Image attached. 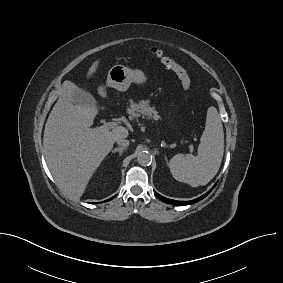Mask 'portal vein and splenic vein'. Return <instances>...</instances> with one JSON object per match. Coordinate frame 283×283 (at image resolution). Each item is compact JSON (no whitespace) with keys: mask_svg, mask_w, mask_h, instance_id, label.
<instances>
[{"mask_svg":"<svg viewBox=\"0 0 283 283\" xmlns=\"http://www.w3.org/2000/svg\"><path fill=\"white\" fill-rule=\"evenodd\" d=\"M117 126H118V123H116V122H104V124L102 126L98 127L97 129L100 130V131H107V130L113 129ZM190 152L191 153L193 152V145H190Z\"/></svg>","mask_w":283,"mask_h":283,"instance_id":"obj_1","label":"portal vein and splenic vein"}]
</instances>
